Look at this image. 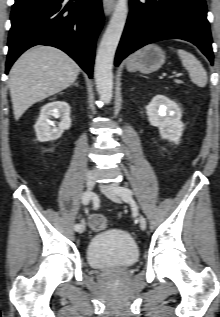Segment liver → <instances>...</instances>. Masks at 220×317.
<instances>
[{"label": "liver", "mask_w": 220, "mask_h": 317, "mask_svg": "<svg viewBox=\"0 0 220 317\" xmlns=\"http://www.w3.org/2000/svg\"><path fill=\"white\" fill-rule=\"evenodd\" d=\"M79 72V65L57 48L40 45L23 53L9 73L15 120L36 102L68 88Z\"/></svg>", "instance_id": "1"}]
</instances>
